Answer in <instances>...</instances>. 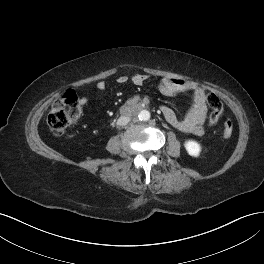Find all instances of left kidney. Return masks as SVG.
Returning <instances> with one entry per match:
<instances>
[{
	"mask_svg": "<svg viewBox=\"0 0 264 264\" xmlns=\"http://www.w3.org/2000/svg\"><path fill=\"white\" fill-rule=\"evenodd\" d=\"M184 146L190 156L198 157L200 155L201 146L196 141L188 140L185 142Z\"/></svg>",
	"mask_w": 264,
	"mask_h": 264,
	"instance_id": "obj_1",
	"label": "left kidney"
}]
</instances>
